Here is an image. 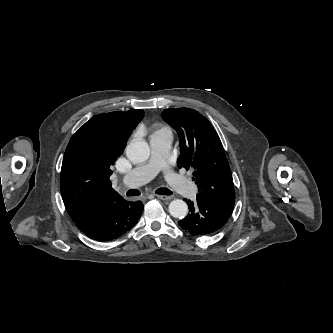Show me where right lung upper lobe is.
I'll use <instances>...</instances> for the list:
<instances>
[{
  "label": "right lung upper lobe",
  "instance_id": "obj_1",
  "mask_svg": "<svg viewBox=\"0 0 333 333\" xmlns=\"http://www.w3.org/2000/svg\"><path fill=\"white\" fill-rule=\"evenodd\" d=\"M143 116L141 109L102 113L71 137L63 158L60 188L73 221L91 219L125 201L110 184L111 166Z\"/></svg>",
  "mask_w": 333,
  "mask_h": 333
}]
</instances>
